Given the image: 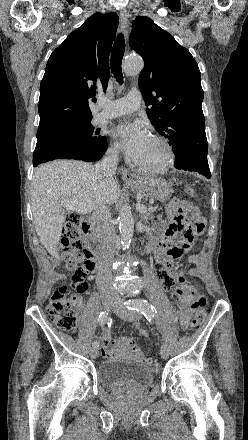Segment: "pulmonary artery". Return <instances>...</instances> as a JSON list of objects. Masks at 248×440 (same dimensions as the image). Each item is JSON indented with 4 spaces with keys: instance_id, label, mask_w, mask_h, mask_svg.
Here are the masks:
<instances>
[{
    "instance_id": "1",
    "label": "pulmonary artery",
    "mask_w": 248,
    "mask_h": 440,
    "mask_svg": "<svg viewBox=\"0 0 248 440\" xmlns=\"http://www.w3.org/2000/svg\"><path fill=\"white\" fill-rule=\"evenodd\" d=\"M141 100V93L137 89H133L125 97L113 101L102 97L98 100V107L101 111L95 115L94 120L99 122L130 114L140 107Z\"/></svg>"
}]
</instances>
